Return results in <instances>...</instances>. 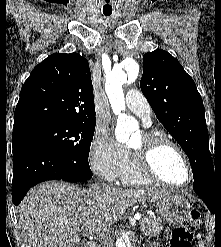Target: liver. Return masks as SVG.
<instances>
[{"instance_id": "liver-1", "label": "liver", "mask_w": 221, "mask_h": 247, "mask_svg": "<svg viewBox=\"0 0 221 247\" xmlns=\"http://www.w3.org/2000/svg\"><path fill=\"white\" fill-rule=\"evenodd\" d=\"M165 190L79 186L49 181L33 187L18 207V225L29 247H80V239L105 238L111 226L138 200L154 202Z\"/></svg>"}]
</instances>
